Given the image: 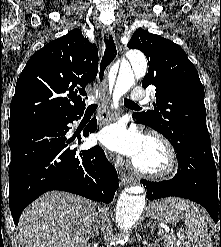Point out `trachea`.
Instances as JSON below:
<instances>
[{
    "instance_id": "trachea-1",
    "label": "trachea",
    "mask_w": 221,
    "mask_h": 247,
    "mask_svg": "<svg viewBox=\"0 0 221 247\" xmlns=\"http://www.w3.org/2000/svg\"><path fill=\"white\" fill-rule=\"evenodd\" d=\"M124 105L131 109H140V107L130 99L124 98ZM97 103H92L88 106L87 110H95L97 108Z\"/></svg>"
}]
</instances>
